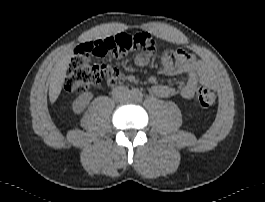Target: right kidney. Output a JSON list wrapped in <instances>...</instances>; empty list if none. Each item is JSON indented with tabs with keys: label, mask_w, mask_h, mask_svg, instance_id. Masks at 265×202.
<instances>
[{
	"label": "right kidney",
	"mask_w": 265,
	"mask_h": 202,
	"mask_svg": "<svg viewBox=\"0 0 265 202\" xmlns=\"http://www.w3.org/2000/svg\"><path fill=\"white\" fill-rule=\"evenodd\" d=\"M93 95L89 92H85L81 94L76 100L73 102L72 109L76 114L81 113L89 104Z\"/></svg>",
	"instance_id": "1"
}]
</instances>
